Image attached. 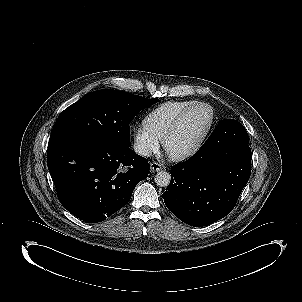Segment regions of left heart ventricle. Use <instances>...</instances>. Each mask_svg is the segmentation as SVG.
I'll return each instance as SVG.
<instances>
[{"label": "left heart ventricle", "instance_id": "b2bd125f", "mask_svg": "<svg viewBox=\"0 0 302 302\" xmlns=\"http://www.w3.org/2000/svg\"><path fill=\"white\" fill-rule=\"evenodd\" d=\"M207 120L204 110H195L184 118L170 139L173 151H182L190 147L202 132Z\"/></svg>", "mask_w": 302, "mask_h": 302}]
</instances>
